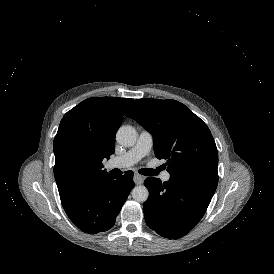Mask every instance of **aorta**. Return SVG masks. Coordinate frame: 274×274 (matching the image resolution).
Segmentation results:
<instances>
[{"mask_svg": "<svg viewBox=\"0 0 274 274\" xmlns=\"http://www.w3.org/2000/svg\"><path fill=\"white\" fill-rule=\"evenodd\" d=\"M116 140L122 146H133L137 140V132L132 126H122L117 131ZM131 194L137 202H145L149 197V191L143 185L134 187Z\"/></svg>", "mask_w": 274, "mask_h": 274, "instance_id": "762f6f07", "label": "aorta"}]
</instances>
